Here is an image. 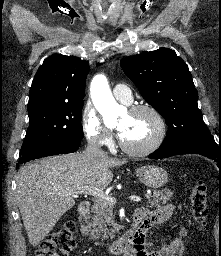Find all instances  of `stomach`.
<instances>
[{"mask_svg":"<svg viewBox=\"0 0 221 256\" xmlns=\"http://www.w3.org/2000/svg\"><path fill=\"white\" fill-rule=\"evenodd\" d=\"M139 180L154 189L163 187L168 182V173L165 169L156 166H143L136 170Z\"/></svg>","mask_w":221,"mask_h":256,"instance_id":"stomach-1","label":"stomach"}]
</instances>
